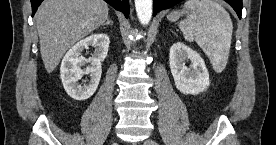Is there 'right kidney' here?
Returning <instances> with one entry per match:
<instances>
[{"instance_id":"1","label":"right kidney","mask_w":276,"mask_h":145,"mask_svg":"<svg viewBox=\"0 0 276 145\" xmlns=\"http://www.w3.org/2000/svg\"><path fill=\"white\" fill-rule=\"evenodd\" d=\"M109 37L105 33L92 34L71 47L64 56L60 76L66 93L77 101L90 98L96 91L101 74L103 62L109 49ZM95 48L94 54L89 59L84 58L81 52L89 46ZM86 63H90L85 69H81ZM85 74H90L87 85L81 86L77 82Z\"/></svg>"}]
</instances>
